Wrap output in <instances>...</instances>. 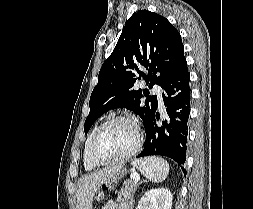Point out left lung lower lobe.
<instances>
[{"label":"left lung lower lobe","mask_w":253,"mask_h":209,"mask_svg":"<svg viewBox=\"0 0 253 209\" xmlns=\"http://www.w3.org/2000/svg\"><path fill=\"white\" fill-rule=\"evenodd\" d=\"M190 75L184 58L163 84L162 94L167 119L159 123L160 115L155 113L145 132L144 149L137 156H166L175 160L184 169L187 149L188 119L190 114Z\"/></svg>","instance_id":"0a47b994"}]
</instances>
